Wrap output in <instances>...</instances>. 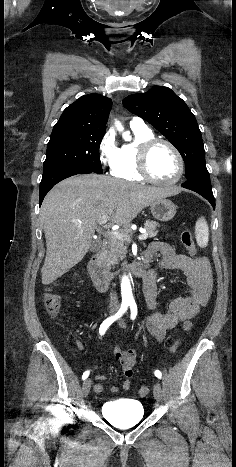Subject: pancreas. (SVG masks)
<instances>
[{
	"label": "pancreas",
	"mask_w": 236,
	"mask_h": 467,
	"mask_svg": "<svg viewBox=\"0 0 236 467\" xmlns=\"http://www.w3.org/2000/svg\"><path fill=\"white\" fill-rule=\"evenodd\" d=\"M159 224L155 221L147 220L145 222V228L147 229V237L154 238L158 234ZM129 236L132 230L127 228L121 231ZM124 240L118 239L112 235L108 238V248L104 252V263L110 269L111 266L118 263L119 260L125 258L127 253V246Z\"/></svg>",
	"instance_id": "obj_1"
}]
</instances>
